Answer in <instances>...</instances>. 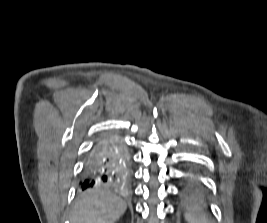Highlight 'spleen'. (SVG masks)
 <instances>
[{"mask_svg":"<svg viewBox=\"0 0 267 223\" xmlns=\"http://www.w3.org/2000/svg\"><path fill=\"white\" fill-rule=\"evenodd\" d=\"M185 218L188 223H208L205 214L200 210L186 213Z\"/></svg>","mask_w":267,"mask_h":223,"instance_id":"spleen-1","label":"spleen"}]
</instances>
